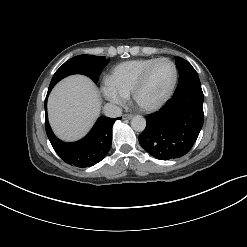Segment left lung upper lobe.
<instances>
[{"mask_svg": "<svg viewBox=\"0 0 247 247\" xmlns=\"http://www.w3.org/2000/svg\"><path fill=\"white\" fill-rule=\"evenodd\" d=\"M176 66L179 71L177 89L188 86H201L197 72L188 61L181 57H177Z\"/></svg>", "mask_w": 247, "mask_h": 247, "instance_id": "obj_1", "label": "left lung upper lobe"}]
</instances>
